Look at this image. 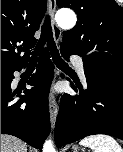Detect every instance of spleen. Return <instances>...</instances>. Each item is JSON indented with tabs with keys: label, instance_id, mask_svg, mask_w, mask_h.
<instances>
[{
	"label": "spleen",
	"instance_id": "obj_1",
	"mask_svg": "<svg viewBox=\"0 0 123 152\" xmlns=\"http://www.w3.org/2000/svg\"><path fill=\"white\" fill-rule=\"evenodd\" d=\"M80 145L91 148L93 152H123L114 138L103 134L85 137Z\"/></svg>",
	"mask_w": 123,
	"mask_h": 152
}]
</instances>
